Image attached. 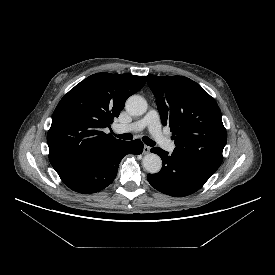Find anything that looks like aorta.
<instances>
[{
  "mask_svg": "<svg viewBox=\"0 0 275 275\" xmlns=\"http://www.w3.org/2000/svg\"><path fill=\"white\" fill-rule=\"evenodd\" d=\"M126 111L133 116H140L147 110L146 100L139 95L130 96L125 104ZM143 167L151 174H156L161 170L162 160L154 153H148L143 157Z\"/></svg>",
  "mask_w": 275,
  "mask_h": 275,
  "instance_id": "obj_1",
  "label": "aorta"
}]
</instances>
